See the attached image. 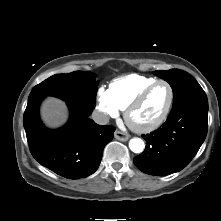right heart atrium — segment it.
I'll use <instances>...</instances> for the list:
<instances>
[{
  "mask_svg": "<svg viewBox=\"0 0 221 221\" xmlns=\"http://www.w3.org/2000/svg\"><path fill=\"white\" fill-rule=\"evenodd\" d=\"M97 110L102 120L114 118L119 114V108L113 101L109 89L100 87L97 90Z\"/></svg>",
  "mask_w": 221,
  "mask_h": 221,
  "instance_id": "obj_1",
  "label": "right heart atrium"
}]
</instances>
